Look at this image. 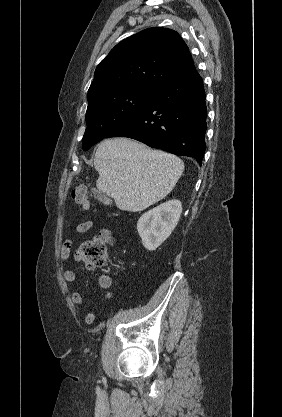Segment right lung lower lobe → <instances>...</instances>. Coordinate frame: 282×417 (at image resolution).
<instances>
[{
    "label": "right lung lower lobe",
    "instance_id": "obj_1",
    "mask_svg": "<svg viewBox=\"0 0 282 417\" xmlns=\"http://www.w3.org/2000/svg\"><path fill=\"white\" fill-rule=\"evenodd\" d=\"M206 102L195 71L160 88L153 98L106 137H128L201 165L206 149Z\"/></svg>",
    "mask_w": 282,
    "mask_h": 417
}]
</instances>
